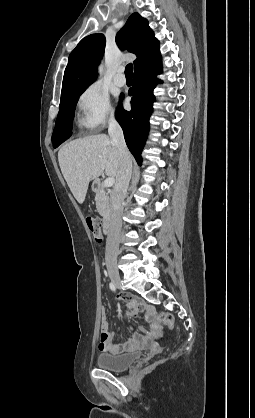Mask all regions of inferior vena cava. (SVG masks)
Masks as SVG:
<instances>
[{
	"instance_id": "602c4592",
	"label": "inferior vena cava",
	"mask_w": 255,
	"mask_h": 418,
	"mask_svg": "<svg viewBox=\"0 0 255 418\" xmlns=\"http://www.w3.org/2000/svg\"><path fill=\"white\" fill-rule=\"evenodd\" d=\"M108 133L119 152V168L116 183L111 193V211L105 250L106 261H115L118 256L119 237L122 228V202L131 178L132 160L124 140L122 128L114 116L109 119Z\"/></svg>"
}]
</instances>
